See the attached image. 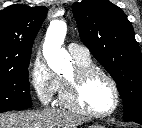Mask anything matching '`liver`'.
I'll return each instance as SVG.
<instances>
[{"mask_svg": "<svg viewBox=\"0 0 142 128\" xmlns=\"http://www.w3.org/2000/svg\"><path fill=\"white\" fill-rule=\"evenodd\" d=\"M82 122L80 116L54 108L0 114V128H77Z\"/></svg>", "mask_w": 142, "mask_h": 128, "instance_id": "1", "label": "liver"}]
</instances>
